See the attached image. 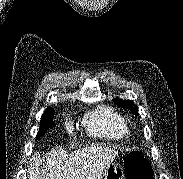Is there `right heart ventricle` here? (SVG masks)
Returning <instances> with one entry per match:
<instances>
[{"label": "right heart ventricle", "instance_id": "1", "mask_svg": "<svg viewBox=\"0 0 183 179\" xmlns=\"http://www.w3.org/2000/svg\"><path fill=\"white\" fill-rule=\"evenodd\" d=\"M85 126L91 136L98 138L121 139L128 133L124 118L108 106H100L89 113Z\"/></svg>", "mask_w": 183, "mask_h": 179}]
</instances>
